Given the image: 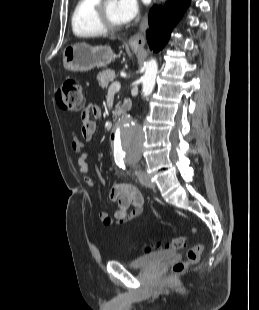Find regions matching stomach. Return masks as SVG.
Returning a JSON list of instances; mask_svg holds the SVG:
<instances>
[{
  "label": "stomach",
  "mask_w": 259,
  "mask_h": 310,
  "mask_svg": "<svg viewBox=\"0 0 259 310\" xmlns=\"http://www.w3.org/2000/svg\"><path fill=\"white\" fill-rule=\"evenodd\" d=\"M137 53L140 49L132 47ZM114 58L113 51L108 46H91L77 43L66 47L63 51L65 69L74 72H86L95 67H106Z\"/></svg>",
  "instance_id": "obj_1"
}]
</instances>
